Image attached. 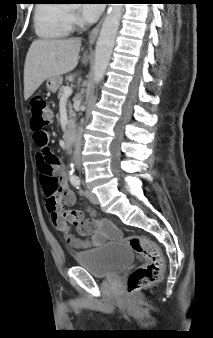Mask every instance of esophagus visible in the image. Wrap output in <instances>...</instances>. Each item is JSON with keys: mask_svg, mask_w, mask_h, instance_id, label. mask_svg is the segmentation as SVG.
Listing matches in <instances>:
<instances>
[{"mask_svg": "<svg viewBox=\"0 0 213 338\" xmlns=\"http://www.w3.org/2000/svg\"><path fill=\"white\" fill-rule=\"evenodd\" d=\"M105 15L102 17V19L99 21V23L93 28V30L89 34V43L94 44L97 40L102 22L104 20Z\"/></svg>", "mask_w": 213, "mask_h": 338, "instance_id": "1", "label": "esophagus"}]
</instances>
